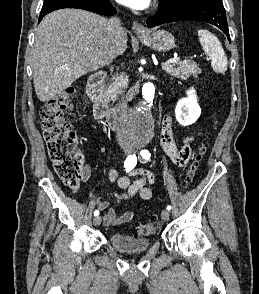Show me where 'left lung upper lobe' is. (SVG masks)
I'll return each instance as SVG.
<instances>
[{
  "instance_id": "left-lung-upper-lobe-1",
  "label": "left lung upper lobe",
  "mask_w": 259,
  "mask_h": 294,
  "mask_svg": "<svg viewBox=\"0 0 259 294\" xmlns=\"http://www.w3.org/2000/svg\"><path fill=\"white\" fill-rule=\"evenodd\" d=\"M192 1L194 0H160V6L158 11L162 12L171 10Z\"/></svg>"
}]
</instances>
